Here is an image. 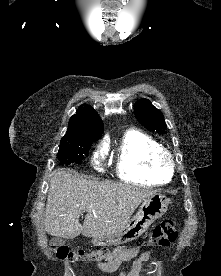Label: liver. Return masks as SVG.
<instances>
[{
	"mask_svg": "<svg viewBox=\"0 0 221 276\" xmlns=\"http://www.w3.org/2000/svg\"><path fill=\"white\" fill-rule=\"evenodd\" d=\"M155 191L134 185L96 181L80 177L72 171L53 172L44 213L48 234L73 239H102L121 230L134 211ZM87 212L83 225L79 217Z\"/></svg>",
	"mask_w": 221,
	"mask_h": 276,
	"instance_id": "liver-1",
	"label": "liver"
}]
</instances>
